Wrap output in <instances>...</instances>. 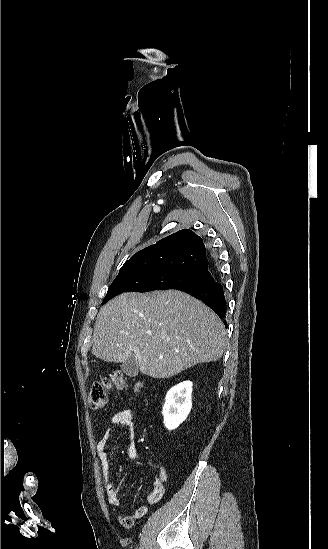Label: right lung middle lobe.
<instances>
[{
    "label": "right lung middle lobe",
    "mask_w": 328,
    "mask_h": 549,
    "mask_svg": "<svg viewBox=\"0 0 328 549\" xmlns=\"http://www.w3.org/2000/svg\"><path fill=\"white\" fill-rule=\"evenodd\" d=\"M203 276L164 268H136L120 271L108 289L103 304L112 297L127 291L184 290L207 283Z\"/></svg>",
    "instance_id": "obj_1"
}]
</instances>
